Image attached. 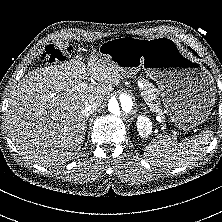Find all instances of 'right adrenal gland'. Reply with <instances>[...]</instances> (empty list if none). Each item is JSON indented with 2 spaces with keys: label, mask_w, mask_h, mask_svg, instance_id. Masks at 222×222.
Masks as SVG:
<instances>
[{
  "label": "right adrenal gland",
  "mask_w": 222,
  "mask_h": 222,
  "mask_svg": "<svg viewBox=\"0 0 222 222\" xmlns=\"http://www.w3.org/2000/svg\"><path fill=\"white\" fill-rule=\"evenodd\" d=\"M87 119H88V118L85 119V125H86V123H87Z\"/></svg>",
  "instance_id": "obj_1"
}]
</instances>
